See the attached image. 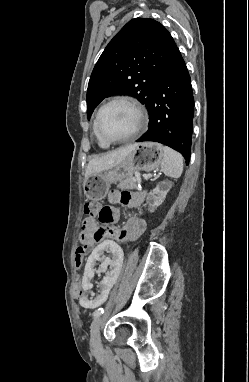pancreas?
I'll return each mask as SVG.
<instances>
[{
  "mask_svg": "<svg viewBox=\"0 0 249 382\" xmlns=\"http://www.w3.org/2000/svg\"><path fill=\"white\" fill-rule=\"evenodd\" d=\"M133 176L129 175L125 179L120 180V183L117 185L120 189H137L138 182L137 180H133Z\"/></svg>",
  "mask_w": 249,
  "mask_h": 382,
  "instance_id": "1",
  "label": "pancreas"
}]
</instances>
